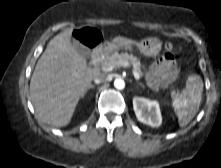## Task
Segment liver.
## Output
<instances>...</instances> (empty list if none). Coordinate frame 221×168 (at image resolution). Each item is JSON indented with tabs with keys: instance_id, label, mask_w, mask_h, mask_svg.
Returning a JSON list of instances; mask_svg holds the SVG:
<instances>
[{
	"instance_id": "obj_1",
	"label": "liver",
	"mask_w": 221,
	"mask_h": 168,
	"mask_svg": "<svg viewBox=\"0 0 221 168\" xmlns=\"http://www.w3.org/2000/svg\"><path fill=\"white\" fill-rule=\"evenodd\" d=\"M72 29L65 30L48 43L30 81V97L41 120L54 127L67 126L80 100L98 74L70 42ZM137 42L122 36L112 44L128 47Z\"/></svg>"
}]
</instances>
